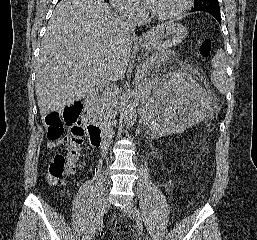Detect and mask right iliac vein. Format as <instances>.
I'll list each match as a JSON object with an SVG mask.
<instances>
[{
	"label": "right iliac vein",
	"instance_id": "63e3f726",
	"mask_svg": "<svg viewBox=\"0 0 257 240\" xmlns=\"http://www.w3.org/2000/svg\"><path fill=\"white\" fill-rule=\"evenodd\" d=\"M109 206H110L109 199L107 197H104L99 205V208H98V211H97L94 221L91 223L89 228L84 233L82 240H92V238L96 232V229H97L98 225L100 224L103 216L108 211Z\"/></svg>",
	"mask_w": 257,
	"mask_h": 240
}]
</instances>
